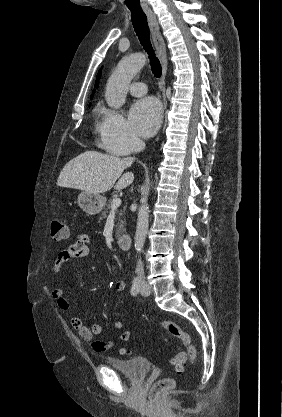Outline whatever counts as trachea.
<instances>
[{
  "label": "trachea",
  "mask_w": 282,
  "mask_h": 417,
  "mask_svg": "<svg viewBox=\"0 0 282 417\" xmlns=\"http://www.w3.org/2000/svg\"><path fill=\"white\" fill-rule=\"evenodd\" d=\"M131 14L132 24L136 32V35L138 36V39L141 42L144 50L149 55L152 73L155 77L159 78L161 77L162 67L160 61L154 54V50L150 42V33L147 23V17L142 10H131Z\"/></svg>",
  "instance_id": "1"
}]
</instances>
